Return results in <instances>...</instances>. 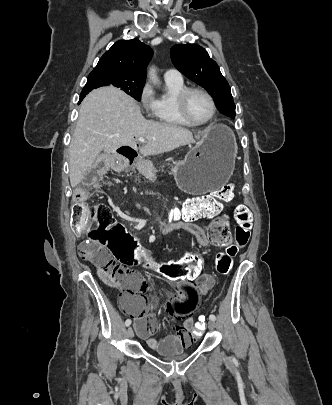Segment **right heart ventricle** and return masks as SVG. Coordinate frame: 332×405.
<instances>
[{
	"mask_svg": "<svg viewBox=\"0 0 332 405\" xmlns=\"http://www.w3.org/2000/svg\"><path fill=\"white\" fill-rule=\"evenodd\" d=\"M166 93L155 98L152 113L156 121L168 125L191 126L182 119L177 108V96L186 88L183 80L165 79Z\"/></svg>",
	"mask_w": 332,
	"mask_h": 405,
	"instance_id": "obj_1",
	"label": "right heart ventricle"
}]
</instances>
